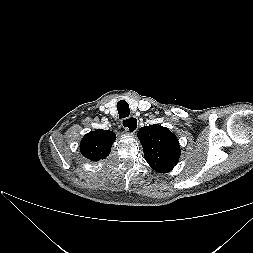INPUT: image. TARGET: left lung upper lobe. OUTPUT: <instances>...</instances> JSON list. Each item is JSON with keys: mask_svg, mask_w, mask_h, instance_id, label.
<instances>
[{"mask_svg": "<svg viewBox=\"0 0 253 253\" xmlns=\"http://www.w3.org/2000/svg\"><path fill=\"white\" fill-rule=\"evenodd\" d=\"M138 137L148 164L159 173H167L180 157L177 137L166 127L150 125L140 128Z\"/></svg>", "mask_w": 253, "mask_h": 253, "instance_id": "left-lung-upper-lobe-1", "label": "left lung upper lobe"}]
</instances>
